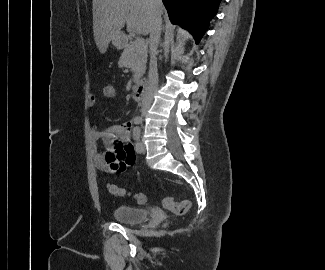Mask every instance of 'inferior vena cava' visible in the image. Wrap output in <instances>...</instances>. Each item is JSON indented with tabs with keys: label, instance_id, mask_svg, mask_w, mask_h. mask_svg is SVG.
Here are the masks:
<instances>
[{
	"label": "inferior vena cava",
	"instance_id": "inferior-vena-cava-1",
	"mask_svg": "<svg viewBox=\"0 0 325 270\" xmlns=\"http://www.w3.org/2000/svg\"><path fill=\"white\" fill-rule=\"evenodd\" d=\"M152 12V22L150 29V65L148 73V81L145 88V93L142 100V115H145L152 102L153 96L158 86V73H157V47L160 41L162 20L159 8L162 6L161 0H148Z\"/></svg>",
	"mask_w": 325,
	"mask_h": 270
}]
</instances>
